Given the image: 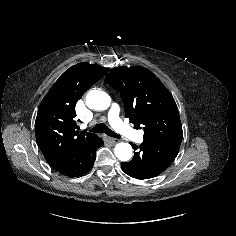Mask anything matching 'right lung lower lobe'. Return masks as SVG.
<instances>
[{
    "label": "right lung lower lobe",
    "mask_w": 236,
    "mask_h": 236,
    "mask_svg": "<svg viewBox=\"0 0 236 236\" xmlns=\"http://www.w3.org/2000/svg\"><path fill=\"white\" fill-rule=\"evenodd\" d=\"M101 138L95 137L79 148L48 159V164L57 172L68 177H79L91 170L95 160V152L103 146Z\"/></svg>",
    "instance_id": "obj_1"
}]
</instances>
